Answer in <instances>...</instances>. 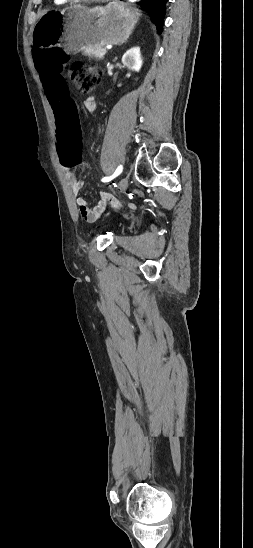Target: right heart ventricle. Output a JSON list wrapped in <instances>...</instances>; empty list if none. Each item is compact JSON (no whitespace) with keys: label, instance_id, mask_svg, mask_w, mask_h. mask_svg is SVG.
<instances>
[{"label":"right heart ventricle","instance_id":"right-heart-ventricle-1","mask_svg":"<svg viewBox=\"0 0 253 548\" xmlns=\"http://www.w3.org/2000/svg\"><path fill=\"white\" fill-rule=\"evenodd\" d=\"M56 4H64L67 2V0H54Z\"/></svg>","mask_w":253,"mask_h":548}]
</instances>
